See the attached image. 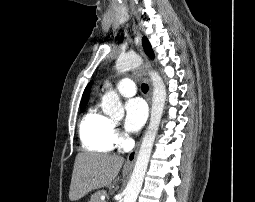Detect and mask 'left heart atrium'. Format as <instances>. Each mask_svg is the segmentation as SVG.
<instances>
[{
	"instance_id": "left-heart-atrium-1",
	"label": "left heart atrium",
	"mask_w": 255,
	"mask_h": 202,
	"mask_svg": "<svg viewBox=\"0 0 255 202\" xmlns=\"http://www.w3.org/2000/svg\"><path fill=\"white\" fill-rule=\"evenodd\" d=\"M125 128L129 132H136L142 128L147 119V107L143 100L134 98L125 105Z\"/></svg>"
}]
</instances>
